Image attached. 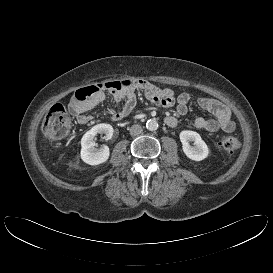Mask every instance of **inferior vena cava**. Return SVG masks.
I'll use <instances>...</instances> for the list:
<instances>
[{"instance_id": "inferior-vena-cava-1", "label": "inferior vena cava", "mask_w": 273, "mask_h": 273, "mask_svg": "<svg viewBox=\"0 0 273 273\" xmlns=\"http://www.w3.org/2000/svg\"><path fill=\"white\" fill-rule=\"evenodd\" d=\"M142 131H143V129L139 124H134L130 128V134L132 136H137V135L141 134Z\"/></svg>"}]
</instances>
